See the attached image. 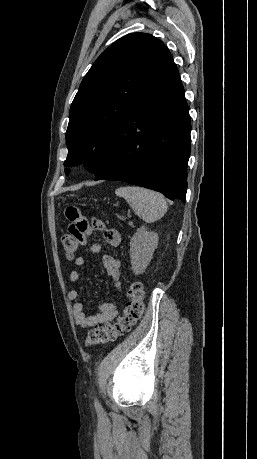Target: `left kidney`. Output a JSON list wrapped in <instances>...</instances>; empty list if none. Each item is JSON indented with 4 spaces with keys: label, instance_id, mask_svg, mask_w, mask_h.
<instances>
[{
    "label": "left kidney",
    "instance_id": "5707ae66",
    "mask_svg": "<svg viewBox=\"0 0 257 459\" xmlns=\"http://www.w3.org/2000/svg\"><path fill=\"white\" fill-rule=\"evenodd\" d=\"M158 239L156 232L147 231L144 226L137 229L130 241V261L135 275L145 271L158 245Z\"/></svg>",
    "mask_w": 257,
    "mask_h": 459
}]
</instances>
